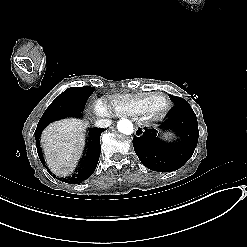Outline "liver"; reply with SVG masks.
Returning <instances> with one entry per match:
<instances>
[{
	"instance_id": "6515ba94",
	"label": "liver",
	"mask_w": 247,
	"mask_h": 247,
	"mask_svg": "<svg viewBox=\"0 0 247 247\" xmlns=\"http://www.w3.org/2000/svg\"><path fill=\"white\" fill-rule=\"evenodd\" d=\"M88 121L67 118L50 123L41 134L46 164L58 177L72 174L85 146Z\"/></svg>"
}]
</instances>
